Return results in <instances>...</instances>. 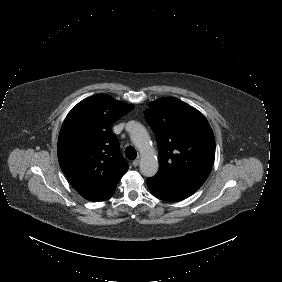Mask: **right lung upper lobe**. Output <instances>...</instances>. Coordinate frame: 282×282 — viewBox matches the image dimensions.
I'll list each match as a JSON object with an SVG mask.
<instances>
[{
	"label": "right lung upper lobe",
	"mask_w": 282,
	"mask_h": 282,
	"mask_svg": "<svg viewBox=\"0 0 282 282\" xmlns=\"http://www.w3.org/2000/svg\"><path fill=\"white\" fill-rule=\"evenodd\" d=\"M133 105L98 94L78 103L67 115L58 138V160L70 184L87 200L112 195L128 170L111 125Z\"/></svg>",
	"instance_id": "right-lung-upper-lobe-1"
}]
</instances>
